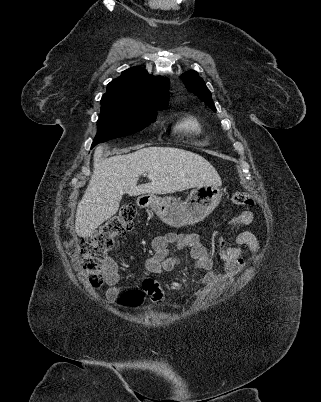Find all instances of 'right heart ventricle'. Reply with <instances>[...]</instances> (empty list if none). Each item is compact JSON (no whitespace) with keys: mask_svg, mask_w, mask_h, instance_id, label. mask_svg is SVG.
Returning a JSON list of instances; mask_svg holds the SVG:
<instances>
[{"mask_svg":"<svg viewBox=\"0 0 321 402\" xmlns=\"http://www.w3.org/2000/svg\"><path fill=\"white\" fill-rule=\"evenodd\" d=\"M175 129L179 132L196 137L201 136L204 131L201 120L193 114H188L182 117L177 122Z\"/></svg>","mask_w":321,"mask_h":402,"instance_id":"e07e8e85","label":"right heart ventricle"}]
</instances>
